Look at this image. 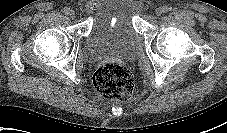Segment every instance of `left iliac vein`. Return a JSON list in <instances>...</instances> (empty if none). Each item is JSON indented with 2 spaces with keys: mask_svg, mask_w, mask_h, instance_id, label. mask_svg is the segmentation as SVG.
Segmentation results:
<instances>
[{
  "mask_svg": "<svg viewBox=\"0 0 227 133\" xmlns=\"http://www.w3.org/2000/svg\"><path fill=\"white\" fill-rule=\"evenodd\" d=\"M155 13L156 15L160 16L164 13L163 11V8L162 7H158L156 10H155Z\"/></svg>",
  "mask_w": 227,
  "mask_h": 133,
  "instance_id": "left-iliac-vein-1",
  "label": "left iliac vein"
}]
</instances>
